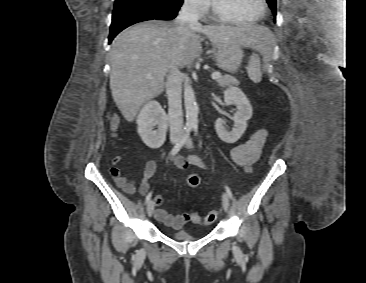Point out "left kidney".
I'll list each match as a JSON object with an SVG mask.
<instances>
[{
	"label": "left kidney",
	"instance_id": "5707ae66",
	"mask_svg": "<svg viewBox=\"0 0 366 283\" xmlns=\"http://www.w3.org/2000/svg\"><path fill=\"white\" fill-rule=\"evenodd\" d=\"M226 105H235L237 110L233 115L234 127L231 131L225 128V121L221 118L215 122L218 137L226 143L236 142L247 128V121L252 117V106L244 93L235 87L224 91Z\"/></svg>",
	"mask_w": 366,
	"mask_h": 283
}]
</instances>
